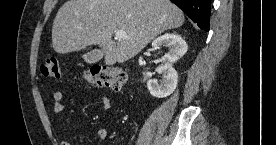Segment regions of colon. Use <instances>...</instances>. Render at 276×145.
I'll use <instances>...</instances> for the list:
<instances>
[{"mask_svg":"<svg viewBox=\"0 0 276 145\" xmlns=\"http://www.w3.org/2000/svg\"><path fill=\"white\" fill-rule=\"evenodd\" d=\"M41 74L45 78L59 80L61 71L57 58L49 57L41 65ZM84 79L96 87L122 89L127 81L126 73L115 67L93 65L84 72Z\"/></svg>","mask_w":276,"mask_h":145,"instance_id":"5ec220e1","label":"colon"}]
</instances>
